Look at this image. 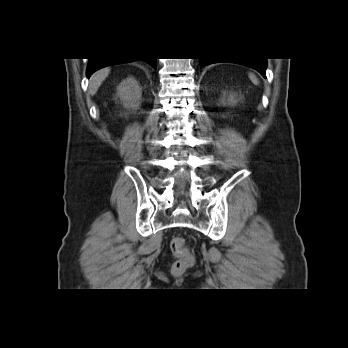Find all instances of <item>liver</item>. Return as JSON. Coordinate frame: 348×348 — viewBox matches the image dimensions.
Listing matches in <instances>:
<instances>
[{"label": "liver", "mask_w": 348, "mask_h": 348, "mask_svg": "<svg viewBox=\"0 0 348 348\" xmlns=\"http://www.w3.org/2000/svg\"><path fill=\"white\" fill-rule=\"evenodd\" d=\"M110 73V68H103L95 72L90 78L89 90L91 95H94L102 82L107 78Z\"/></svg>", "instance_id": "6515ba94"}]
</instances>
